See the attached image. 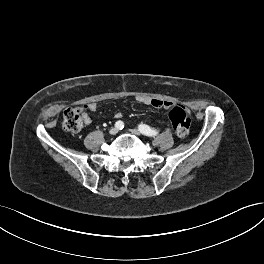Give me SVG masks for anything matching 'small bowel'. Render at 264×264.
I'll use <instances>...</instances> for the list:
<instances>
[{
  "label": "small bowel",
  "mask_w": 264,
  "mask_h": 264,
  "mask_svg": "<svg viewBox=\"0 0 264 264\" xmlns=\"http://www.w3.org/2000/svg\"><path fill=\"white\" fill-rule=\"evenodd\" d=\"M138 101L142 104H145V105H151L153 107H156V108H165V109H169L171 108L174 104L170 101H166V100H160V99H152V98H147V97H140L138 98ZM97 104L96 103H89L86 108L89 110V111H96L97 110ZM116 118H121V114L118 113L115 115ZM84 122L85 124H90L91 123V119L90 117L85 114L84 116Z\"/></svg>",
  "instance_id": "small-bowel-1"
}]
</instances>
